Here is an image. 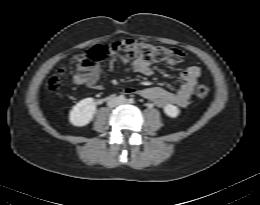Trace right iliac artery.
I'll return each mask as SVG.
<instances>
[{"label": "right iliac artery", "mask_w": 260, "mask_h": 205, "mask_svg": "<svg viewBox=\"0 0 260 205\" xmlns=\"http://www.w3.org/2000/svg\"><path fill=\"white\" fill-rule=\"evenodd\" d=\"M118 99H119L120 101L125 100V96H124V95H120V96L118 97Z\"/></svg>", "instance_id": "82829eb1"}]
</instances>
